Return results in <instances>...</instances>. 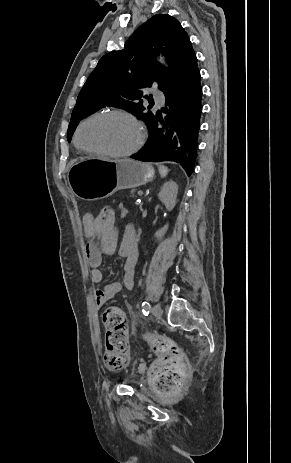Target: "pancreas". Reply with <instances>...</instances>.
Returning <instances> with one entry per match:
<instances>
[{
    "label": "pancreas",
    "mask_w": 291,
    "mask_h": 463,
    "mask_svg": "<svg viewBox=\"0 0 291 463\" xmlns=\"http://www.w3.org/2000/svg\"><path fill=\"white\" fill-rule=\"evenodd\" d=\"M128 197H131V198H136V190L135 189H132L128 192L127 194Z\"/></svg>",
    "instance_id": "1"
}]
</instances>
